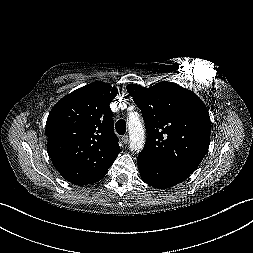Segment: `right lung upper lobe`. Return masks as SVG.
<instances>
[{
  "label": "right lung upper lobe",
  "mask_w": 253,
  "mask_h": 253,
  "mask_svg": "<svg viewBox=\"0 0 253 253\" xmlns=\"http://www.w3.org/2000/svg\"><path fill=\"white\" fill-rule=\"evenodd\" d=\"M117 88L98 81L64 96L46 122L47 150L64 179L76 185L102 179L120 153L110 103Z\"/></svg>",
  "instance_id": "right-lung-upper-lobe-1"
}]
</instances>
